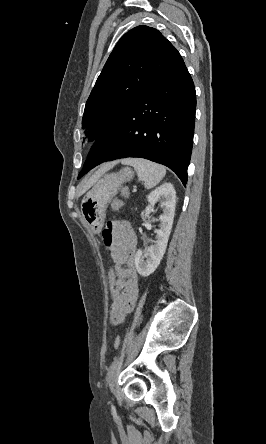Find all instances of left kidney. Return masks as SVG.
<instances>
[{
	"instance_id": "obj_1",
	"label": "left kidney",
	"mask_w": 266,
	"mask_h": 444,
	"mask_svg": "<svg viewBox=\"0 0 266 444\" xmlns=\"http://www.w3.org/2000/svg\"><path fill=\"white\" fill-rule=\"evenodd\" d=\"M148 206L145 209V218L149 214L153 206L161 200L164 205L163 214L160 215L159 229L155 230L154 244L149 246L146 253L138 250L135 254V266L138 273L147 277L152 274L160 264L166 251L168 238L172 229L175 214L176 192L171 183H164L148 195ZM146 258V261H144Z\"/></svg>"
}]
</instances>
